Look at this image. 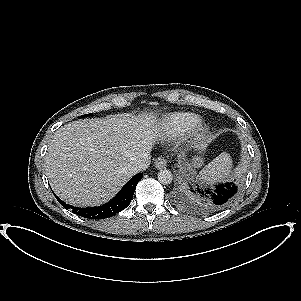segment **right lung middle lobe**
<instances>
[{"instance_id": "obj_1", "label": "right lung middle lobe", "mask_w": 301, "mask_h": 301, "mask_svg": "<svg viewBox=\"0 0 301 301\" xmlns=\"http://www.w3.org/2000/svg\"><path fill=\"white\" fill-rule=\"evenodd\" d=\"M90 114H87V115H83L82 117H85V116H89Z\"/></svg>"}]
</instances>
